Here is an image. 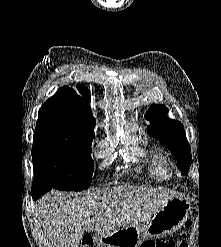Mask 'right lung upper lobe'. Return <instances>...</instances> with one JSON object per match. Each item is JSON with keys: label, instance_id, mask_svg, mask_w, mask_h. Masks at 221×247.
Listing matches in <instances>:
<instances>
[{"label": "right lung upper lobe", "instance_id": "obj_1", "mask_svg": "<svg viewBox=\"0 0 221 247\" xmlns=\"http://www.w3.org/2000/svg\"><path fill=\"white\" fill-rule=\"evenodd\" d=\"M77 89L84 99L68 86L49 98L39 110L36 130H63L94 138L95 118L88 105L89 90L83 85H77Z\"/></svg>", "mask_w": 221, "mask_h": 247}]
</instances>
